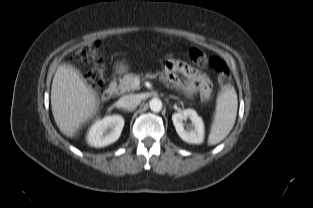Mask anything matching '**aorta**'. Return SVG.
<instances>
[{
	"instance_id": "762f6f07",
	"label": "aorta",
	"mask_w": 313,
	"mask_h": 208,
	"mask_svg": "<svg viewBox=\"0 0 313 208\" xmlns=\"http://www.w3.org/2000/svg\"><path fill=\"white\" fill-rule=\"evenodd\" d=\"M149 106L153 112H159L162 109V101L158 98H154L149 102Z\"/></svg>"
}]
</instances>
